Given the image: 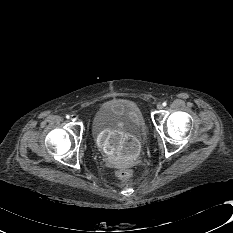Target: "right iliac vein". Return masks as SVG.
Returning a JSON list of instances; mask_svg holds the SVG:
<instances>
[{"label":"right iliac vein","mask_w":233,"mask_h":233,"mask_svg":"<svg viewBox=\"0 0 233 233\" xmlns=\"http://www.w3.org/2000/svg\"><path fill=\"white\" fill-rule=\"evenodd\" d=\"M71 120H72V121H76V120H77V117L73 115V116L71 117Z\"/></svg>","instance_id":"obj_1"}]
</instances>
